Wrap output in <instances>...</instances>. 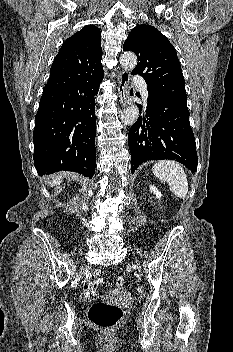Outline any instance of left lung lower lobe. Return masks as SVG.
<instances>
[{"instance_id":"0a47b994","label":"left lung lower lobe","mask_w":233,"mask_h":352,"mask_svg":"<svg viewBox=\"0 0 233 352\" xmlns=\"http://www.w3.org/2000/svg\"><path fill=\"white\" fill-rule=\"evenodd\" d=\"M148 94L146 114L138 117L128 133L131 172L145 161L163 159L176 160L196 172L198 158L187 105L150 89Z\"/></svg>"}]
</instances>
